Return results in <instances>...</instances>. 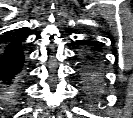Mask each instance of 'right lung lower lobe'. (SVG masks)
Here are the masks:
<instances>
[{
    "instance_id": "98d812e1",
    "label": "right lung lower lobe",
    "mask_w": 133,
    "mask_h": 118,
    "mask_svg": "<svg viewBox=\"0 0 133 118\" xmlns=\"http://www.w3.org/2000/svg\"><path fill=\"white\" fill-rule=\"evenodd\" d=\"M24 53L20 41L9 43L0 57V84L8 87L24 73ZM2 94V91H1Z\"/></svg>"
}]
</instances>
